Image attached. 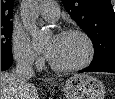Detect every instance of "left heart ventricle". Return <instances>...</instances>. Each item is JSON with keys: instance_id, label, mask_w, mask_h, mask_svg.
<instances>
[{"instance_id": "left-heart-ventricle-1", "label": "left heart ventricle", "mask_w": 115, "mask_h": 99, "mask_svg": "<svg viewBox=\"0 0 115 99\" xmlns=\"http://www.w3.org/2000/svg\"><path fill=\"white\" fill-rule=\"evenodd\" d=\"M52 39L49 41V43ZM86 45L77 35H59L50 60L58 65H72L86 55Z\"/></svg>"}]
</instances>
